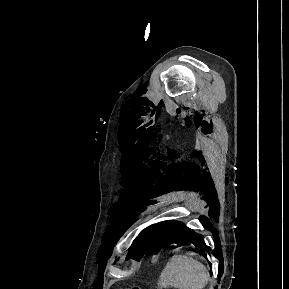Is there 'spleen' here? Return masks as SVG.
I'll use <instances>...</instances> for the list:
<instances>
[{
  "label": "spleen",
  "instance_id": "1",
  "mask_svg": "<svg viewBox=\"0 0 289 289\" xmlns=\"http://www.w3.org/2000/svg\"><path fill=\"white\" fill-rule=\"evenodd\" d=\"M210 274L200 261L186 255H174L162 270L158 289H204Z\"/></svg>",
  "mask_w": 289,
  "mask_h": 289
}]
</instances>
